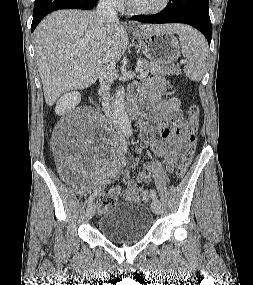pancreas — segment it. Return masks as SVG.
I'll return each instance as SVG.
<instances>
[{
	"instance_id": "pancreas-1",
	"label": "pancreas",
	"mask_w": 253,
	"mask_h": 285,
	"mask_svg": "<svg viewBox=\"0 0 253 285\" xmlns=\"http://www.w3.org/2000/svg\"><path fill=\"white\" fill-rule=\"evenodd\" d=\"M142 71H148L151 75H181L179 66H166L144 61L141 66Z\"/></svg>"
}]
</instances>
